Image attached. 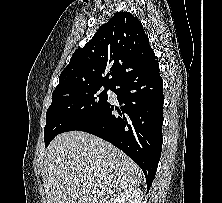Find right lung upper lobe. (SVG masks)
<instances>
[{
	"label": "right lung upper lobe",
	"mask_w": 222,
	"mask_h": 203,
	"mask_svg": "<svg viewBox=\"0 0 222 203\" xmlns=\"http://www.w3.org/2000/svg\"><path fill=\"white\" fill-rule=\"evenodd\" d=\"M154 59L141 22L129 12H118L73 53L53 92L84 85L111 86L127 72Z\"/></svg>",
	"instance_id": "obj_1"
}]
</instances>
